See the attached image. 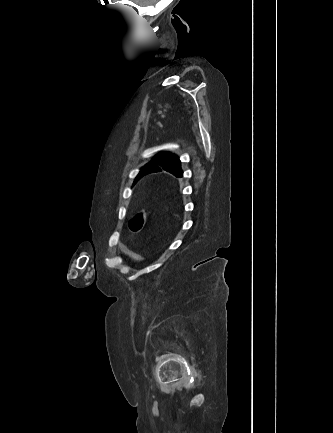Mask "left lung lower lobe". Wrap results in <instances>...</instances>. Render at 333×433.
Instances as JSON below:
<instances>
[{
  "instance_id": "obj_1",
  "label": "left lung lower lobe",
  "mask_w": 333,
  "mask_h": 433,
  "mask_svg": "<svg viewBox=\"0 0 333 433\" xmlns=\"http://www.w3.org/2000/svg\"><path fill=\"white\" fill-rule=\"evenodd\" d=\"M152 168L146 169L142 174H140L139 176H137L136 181L139 180L142 176L146 175L147 173H145L146 171H151Z\"/></svg>"
}]
</instances>
